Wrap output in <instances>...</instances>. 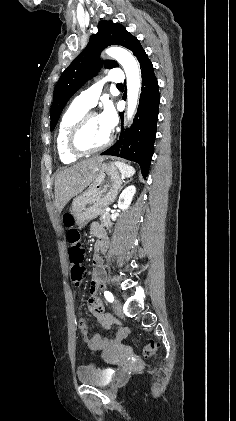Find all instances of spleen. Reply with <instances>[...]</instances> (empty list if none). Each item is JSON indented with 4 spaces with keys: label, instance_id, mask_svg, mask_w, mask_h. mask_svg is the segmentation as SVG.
I'll return each instance as SVG.
<instances>
[{
    "label": "spleen",
    "instance_id": "obj_1",
    "mask_svg": "<svg viewBox=\"0 0 236 421\" xmlns=\"http://www.w3.org/2000/svg\"><path fill=\"white\" fill-rule=\"evenodd\" d=\"M116 166H118L120 172H122L123 176H133L136 170L130 164H125V162H120V160H116Z\"/></svg>",
    "mask_w": 236,
    "mask_h": 421
}]
</instances>
